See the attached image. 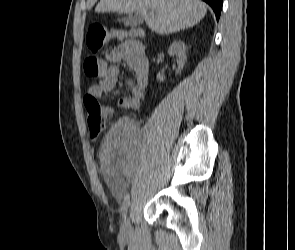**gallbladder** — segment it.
Wrapping results in <instances>:
<instances>
[{
  "label": "gallbladder",
  "mask_w": 295,
  "mask_h": 250,
  "mask_svg": "<svg viewBox=\"0 0 295 250\" xmlns=\"http://www.w3.org/2000/svg\"><path fill=\"white\" fill-rule=\"evenodd\" d=\"M118 21L124 23L126 26L134 27L142 23L143 18L138 12H135L129 16L119 18Z\"/></svg>",
  "instance_id": "bac80fb5"
}]
</instances>
